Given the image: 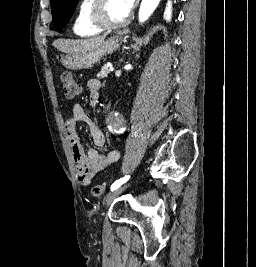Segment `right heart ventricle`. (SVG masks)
Returning <instances> with one entry per match:
<instances>
[{"instance_id": "right-heart-ventricle-1", "label": "right heart ventricle", "mask_w": 256, "mask_h": 267, "mask_svg": "<svg viewBox=\"0 0 256 267\" xmlns=\"http://www.w3.org/2000/svg\"><path fill=\"white\" fill-rule=\"evenodd\" d=\"M86 2L87 5L81 10L79 17L72 27V31L76 36H100L103 31L96 28L90 19L94 0H86Z\"/></svg>"}]
</instances>
